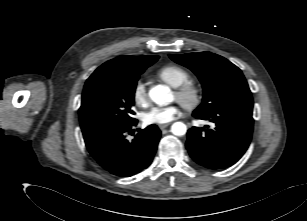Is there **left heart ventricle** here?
Wrapping results in <instances>:
<instances>
[{
	"label": "left heart ventricle",
	"mask_w": 307,
	"mask_h": 221,
	"mask_svg": "<svg viewBox=\"0 0 307 221\" xmlns=\"http://www.w3.org/2000/svg\"><path fill=\"white\" fill-rule=\"evenodd\" d=\"M173 96H174V98H176V95H175V93L173 94Z\"/></svg>",
	"instance_id": "obj_1"
}]
</instances>
